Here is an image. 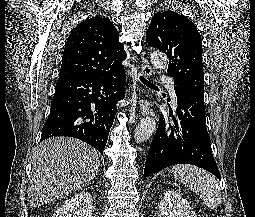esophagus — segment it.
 I'll return each instance as SVG.
<instances>
[{"instance_id": "34e87169", "label": "esophagus", "mask_w": 255, "mask_h": 217, "mask_svg": "<svg viewBox=\"0 0 255 217\" xmlns=\"http://www.w3.org/2000/svg\"><path fill=\"white\" fill-rule=\"evenodd\" d=\"M152 67L149 64L148 60L144 57H142V62H141V73L144 77H150L152 75ZM139 107H140V112L144 116H154V111L149 103V101L141 96L140 101H139Z\"/></svg>"}]
</instances>
